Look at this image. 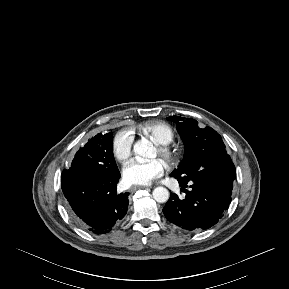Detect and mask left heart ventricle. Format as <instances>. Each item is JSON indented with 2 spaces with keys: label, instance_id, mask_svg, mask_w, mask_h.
<instances>
[{
  "label": "left heart ventricle",
  "instance_id": "1",
  "mask_svg": "<svg viewBox=\"0 0 289 289\" xmlns=\"http://www.w3.org/2000/svg\"><path fill=\"white\" fill-rule=\"evenodd\" d=\"M157 156H159V153H158V151H157V149H156L155 152H154V154H153V157H157Z\"/></svg>",
  "mask_w": 289,
  "mask_h": 289
}]
</instances>
